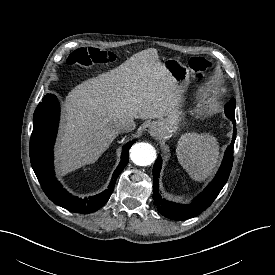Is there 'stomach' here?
<instances>
[{"label":"stomach","mask_w":275,"mask_h":275,"mask_svg":"<svg viewBox=\"0 0 275 275\" xmlns=\"http://www.w3.org/2000/svg\"><path fill=\"white\" fill-rule=\"evenodd\" d=\"M163 64L172 76L177 90L180 94H183L190 82L188 67L175 58L166 59ZM181 114L182 112L179 110V108H177L165 118L159 119L156 122L157 126L159 127V132L161 134L168 135H173L176 133L179 127V122L181 120Z\"/></svg>","instance_id":"1"}]
</instances>
